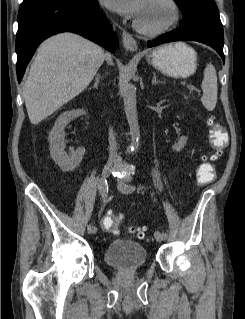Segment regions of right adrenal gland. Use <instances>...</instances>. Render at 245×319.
<instances>
[{"instance_id": "right-adrenal-gland-1", "label": "right adrenal gland", "mask_w": 245, "mask_h": 319, "mask_svg": "<svg viewBox=\"0 0 245 319\" xmlns=\"http://www.w3.org/2000/svg\"><path fill=\"white\" fill-rule=\"evenodd\" d=\"M100 80H101L100 74H96V76H95V82H94V85H93L92 88L98 89V85H99Z\"/></svg>"}]
</instances>
